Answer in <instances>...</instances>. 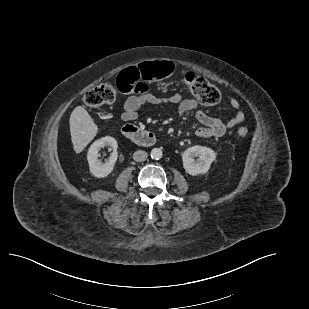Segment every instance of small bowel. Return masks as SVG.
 Returning <instances> with one entry per match:
<instances>
[{"label": "small bowel", "instance_id": "1", "mask_svg": "<svg viewBox=\"0 0 309 309\" xmlns=\"http://www.w3.org/2000/svg\"><path fill=\"white\" fill-rule=\"evenodd\" d=\"M124 87L132 90L126 93H132L123 103L121 119L125 122H131L138 118L139 111L144 105H175L178 115L195 111L196 119L202 124L195 131L196 136L201 138L221 137L228 129L234 128L244 121V113L240 108L238 100L232 98L230 105L236 111L235 115L227 121L217 117L210 116L205 111L198 109V102L193 98L184 99L181 94L174 93L167 97H158L149 92L147 85L134 90L135 84H132L131 78L123 76L117 78V82Z\"/></svg>", "mask_w": 309, "mask_h": 309}]
</instances>
